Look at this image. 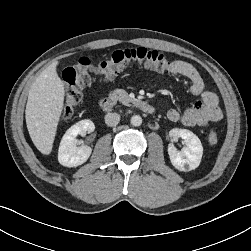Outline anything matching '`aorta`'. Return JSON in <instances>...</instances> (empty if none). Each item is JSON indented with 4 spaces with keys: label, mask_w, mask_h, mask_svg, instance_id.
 I'll list each match as a JSON object with an SVG mask.
<instances>
[{
    "label": "aorta",
    "mask_w": 251,
    "mask_h": 251,
    "mask_svg": "<svg viewBox=\"0 0 251 251\" xmlns=\"http://www.w3.org/2000/svg\"><path fill=\"white\" fill-rule=\"evenodd\" d=\"M131 124L133 126H140L142 124V118L139 115H133L131 117Z\"/></svg>",
    "instance_id": "obj_1"
}]
</instances>
